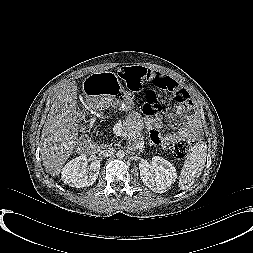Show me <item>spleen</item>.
<instances>
[{"instance_id":"obj_1","label":"spleen","mask_w":253,"mask_h":253,"mask_svg":"<svg viewBox=\"0 0 253 253\" xmlns=\"http://www.w3.org/2000/svg\"><path fill=\"white\" fill-rule=\"evenodd\" d=\"M207 146L204 142L196 143L182 167L179 186L184 190L200 176L206 162Z\"/></svg>"}]
</instances>
